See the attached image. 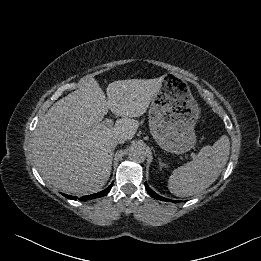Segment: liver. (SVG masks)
Returning a JSON list of instances; mask_svg holds the SVG:
<instances>
[{"label": "liver", "mask_w": 261, "mask_h": 261, "mask_svg": "<svg viewBox=\"0 0 261 261\" xmlns=\"http://www.w3.org/2000/svg\"><path fill=\"white\" fill-rule=\"evenodd\" d=\"M161 83V77L114 81L106 99L92 76L82 78L80 88L54 103L34 131L32 152L42 178L67 193L99 191L111 173L112 137H134V118L146 112ZM108 110L121 118L96 128Z\"/></svg>", "instance_id": "liver-1"}]
</instances>
